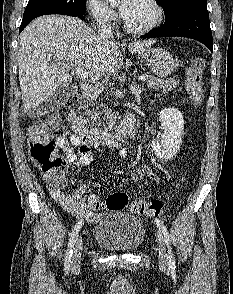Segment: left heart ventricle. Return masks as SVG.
Listing matches in <instances>:
<instances>
[{
  "mask_svg": "<svg viewBox=\"0 0 233 294\" xmlns=\"http://www.w3.org/2000/svg\"><path fill=\"white\" fill-rule=\"evenodd\" d=\"M124 18L133 26H144L153 20L154 10L146 0H138L131 12Z\"/></svg>",
  "mask_w": 233,
  "mask_h": 294,
  "instance_id": "b2bd125f",
  "label": "left heart ventricle"
}]
</instances>
